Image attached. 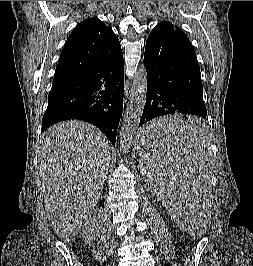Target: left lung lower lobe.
<instances>
[{
  "instance_id": "1",
  "label": "left lung lower lobe",
  "mask_w": 253,
  "mask_h": 266,
  "mask_svg": "<svg viewBox=\"0 0 253 266\" xmlns=\"http://www.w3.org/2000/svg\"><path fill=\"white\" fill-rule=\"evenodd\" d=\"M147 97L139 126L144 138L161 141L198 136L207 116L203 102L200 68L191 42L182 30L160 24L150 33L145 47ZM191 114L200 118L171 124H155L153 118L173 114Z\"/></svg>"
}]
</instances>
